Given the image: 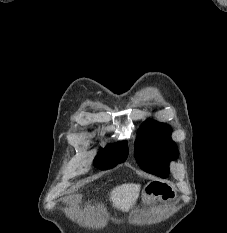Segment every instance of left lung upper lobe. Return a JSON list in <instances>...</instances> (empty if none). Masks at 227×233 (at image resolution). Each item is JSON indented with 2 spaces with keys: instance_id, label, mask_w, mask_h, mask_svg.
Wrapping results in <instances>:
<instances>
[{
  "instance_id": "5c2ea615",
  "label": "left lung upper lobe",
  "mask_w": 227,
  "mask_h": 233,
  "mask_svg": "<svg viewBox=\"0 0 227 233\" xmlns=\"http://www.w3.org/2000/svg\"><path fill=\"white\" fill-rule=\"evenodd\" d=\"M171 132L167 124L152 120H147L140 128L135 143V158L143 170L163 178L168 176V162L177 157Z\"/></svg>"
}]
</instances>
